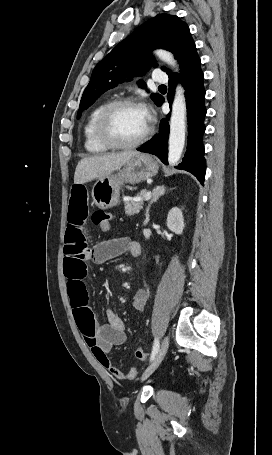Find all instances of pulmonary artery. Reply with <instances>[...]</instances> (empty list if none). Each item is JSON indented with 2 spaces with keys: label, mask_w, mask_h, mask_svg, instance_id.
Returning <instances> with one entry per match:
<instances>
[{
  "label": "pulmonary artery",
  "mask_w": 272,
  "mask_h": 455,
  "mask_svg": "<svg viewBox=\"0 0 272 455\" xmlns=\"http://www.w3.org/2000/svg\"><path fill=\"white\" fill-rule=\"evenodd\" d=\"M153 80L159 84H165L168 82V76L162 71H156L153 75Z\"/></svg>",
  "instance_id": "1"
}]
</instances>
